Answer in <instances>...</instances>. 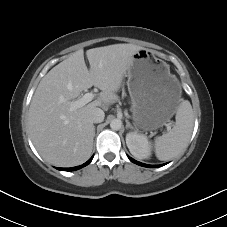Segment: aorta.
<instances>
[{
  "instance_id": "1",
  "label": "aorta",
  "mask_w": 227,
  "mask_h": 227,
  "mask_svg": "<svg viewBox=\"0 0 227 227\" xmlns=\"http://www.w3.org/2000/svg\"><path fill=\"white\" fill-rule=\"evenodd\" d=\"M121 126H122V122L121 120L119 119H113L111 122H110V127L112 130H120L121 129Z\"/></svg>"
}]
</instances>
